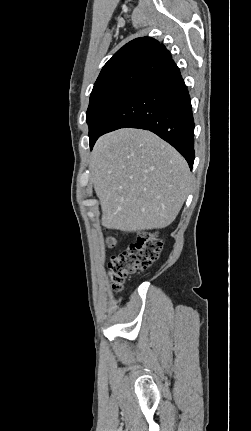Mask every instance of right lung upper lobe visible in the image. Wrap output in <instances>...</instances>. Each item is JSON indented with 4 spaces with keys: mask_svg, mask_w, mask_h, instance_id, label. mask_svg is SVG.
<instances>
[{
    "mask_svg": "<svg viewBox=\"0 0 251 431\" xmlns=\"http://www.w3.org/2000/svg\"><path fill=\"white\" fill-rule=\"evenodd\" d=\"M161 49H165L164 45L150 37H141L130 41L105 64L96 82L125 65L141 61L149 63L153 55Z\"/></svg>",
    "mask_w": 251,
    "mask_h": 431,
    "instance_id": "1",
    "label": "right lung upper lobe"
}]
</instances>
